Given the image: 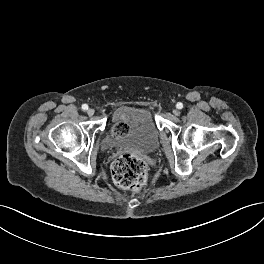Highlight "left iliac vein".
Segmentation results:
<instances>
[{"instance_id": "obj_1", "label": "left iliac vein", "mask_w": 264, "mask_h": 264, "mask_svg": "<svg viewBox=\"0 0 264 264\" xmlns=\"http://www.w3.org/2000/svg\"><path fill=\"white\" fill-rule=\"evenodd\" d=\"M173 114H174L175 116H178V115L180 114V111L177 110V109H174V110H173Z\"/></svg>"}]
</instances>
